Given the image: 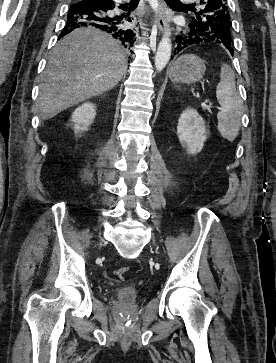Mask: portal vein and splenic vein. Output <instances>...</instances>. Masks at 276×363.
Returning a JSON list of instances; mask_svg holds the SVG:
<instances>
[{
	"instance_id": "portal-vein-and-splenic-vein-1",
	"label": "portal vein and splenic vein",
	"mask_w": 276,
	"mask_h": 363,
	"mask_svg": "<svg viewBox=\"0 0 276 363\" xmlns=\"http://www.w3.org/2000/svg\"><path fill=\"white\" fill-rule=\"evenodd\" d=\"M201 106L203 107V108H205V109H210V108H212V105L211 104H207V102H202L201 103Z\"/></svg>"
}]
</instances>
